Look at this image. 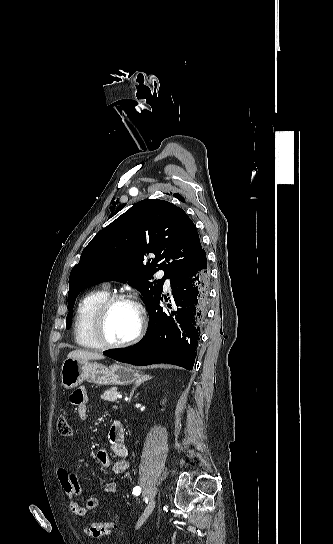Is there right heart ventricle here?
Returning <instances> with one entry per match:
<instances>
[{
  "mask_svg": "<svg viewBox=\"0 0 333 544\" xmlns=\"http://www.w3.org/2000/svg\"><path fill=\"white\" fill-rule=\"evenodd\" d=\"M109 296L106 288L92 290L78 303L74 319V338L84 348H101L94 340L91 331L92 319L98 306Z\"/></svg>",
  "mask_w": 333,
  "mask_h": 544,
  "instance_id": "obj_1",
  "label": "right heart ventricle"
}]
</instances>
